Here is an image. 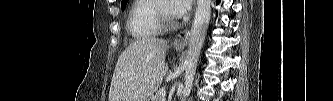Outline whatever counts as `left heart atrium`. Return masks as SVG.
Returning a JSON list of instances; mask_svg holds the SVG:
<instances>
[{
  "instance_id": "left-heart-atrium-1",
  "label": "left heart atrium",
  "mask_w": 333,
  "mask_h": 101,
  "mask_svg": "<svg viewBox=\"0 0 333 101\" xmlns=\"http://www.w3.org/2000/svg\"><path fill=\"white\" fill-rule=\"evenodd\" d=\"M191 2V0H172L168 11L172 16H182L189 10Z\"/></svg>"
}]
</instances>
